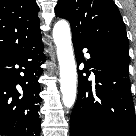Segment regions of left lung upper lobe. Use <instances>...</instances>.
Returning <instances> with one entry per match:
<instances>
[{
    "mask_svg": "<svg viewBox=\"0 0 136 136\" xmlns=\"http://www.w3.org/2000/svg\"><path fill=\"white\" fill-rule=\"evenodd\" d=\"M56 16L70 22L73 39L108 50L129 62L125 24L113 0H59Z\"/></svg>",
    "mask_w": 136,
    "mask_h": 136,
    "instance_id": "5c2ea615",
    "label": "left lung upper lobe"
}]
</instances>
